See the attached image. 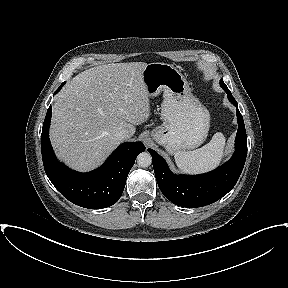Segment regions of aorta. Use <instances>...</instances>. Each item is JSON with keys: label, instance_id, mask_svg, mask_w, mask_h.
<instances>
[{"label": "aorta", "instance_id": "obj_1", "mask_svg": "<svg viewBox=\"0 0 288 288\" xmlns=\"http://www.w3.org/2000/svg\"><path fill=\"white\" fill-rule=\"evenodd\" d=\"M152 163V157L148 152H142L137 156V164L139 167L147 168Z\"/></svg>", "mask_w": 288, "mask_h": 288}]
</instances>
